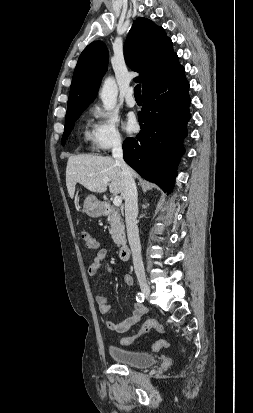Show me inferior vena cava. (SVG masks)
I'll use <instances>...</instances> for the list:
<instances>
[{"label": "inferior vena cava", "mask_w": 253, "mask_h": 413, "mask_svg": "<svg viewBox=\"0 0 253 413\" xmlns=\"http://www.w3.org/2000/svg\"><path fill=\"white\" fill-rule=\"evenodd\" d=\"M112 155L116 163L121 167L125 182V221L127 227V236L132 251L133 265L137 276L144 277V265L141 257V245L139 231L136 224L138 215L137 188L133 177L132 169L123 159V150L120 139H115L113 143Z\"/></svg>", "instance_id": "1"}]
</instances>
